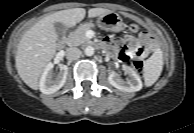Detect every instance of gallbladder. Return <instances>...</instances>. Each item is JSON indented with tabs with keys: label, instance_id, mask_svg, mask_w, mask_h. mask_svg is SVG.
Wrapping results in <instances>:
<instances>
[{
	"label": "gallbladder",
	"instance_id": "obj_1",
	"mask_svg": "<svg viewBox=\"0 0 194 133\" xmlns=\"http://www.w3.org/2000/svg\"><path fill=\"white\" fill-rule=\"evenodd\" d=\"M54 27H55L58 38L61 39L65 35L64 26L61 23L57 22L54 24Z\"/></svg>",
	"mask_w": 194,
	"mask_h": 133
}]
</instances>
